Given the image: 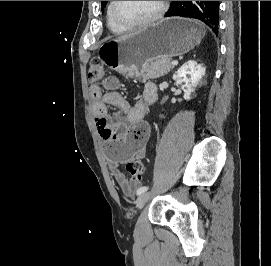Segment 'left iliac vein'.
<instances>
[{"label":"left iliac vein","mask_w":271,"mask_h":266,"mask_svg":"<svg viewBox=\"0 0 271 266\" xmlns=\"http://www.w3.org/2000/svg\"><path fill=\"white\" fill-rule=\"evenodd\" d=\"M149 199V194L148 193H143L141 194L137 200H136V205L139 209L143 208L146 202Z\"/></svg>","instance_id":"obj_1"}]
</instances>
